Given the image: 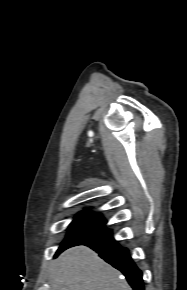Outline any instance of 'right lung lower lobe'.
Masks as SVG:
<instances>
[{"label":"right lung lower lobe","instance_id":"98d812e1","mask_svg":"<svg viewBox=\"0 0 187 290\" xmlns=\"http://www.w3.org/2000/svg\"><path fill=\"white\" fill-rule=\"evenodd\" d=\"M78 245L89 246L99 253L101 258L124 274L134 290H144L142 272L128 255V249L121 247L111 235Z\"/></svg>","mask_w":187,"mask_h":290}]
</instances>
